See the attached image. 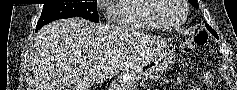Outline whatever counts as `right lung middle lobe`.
Wrapping results in <instances>:
<instances>
[{"instance_id": "dd1d6c3e", "label": "right lung middle lobe", "mask_w": 237, "mask_h": 90, "mask_svg": "<svg viewBox=\"0 0 237 90\" xmlns=\"http://www.w3.org/2000/svg\"><path fill=\"white\" fill-rule=\"evenodd\" d=\"M71 17H81L92 22H99L97 1L44 4L41 17L36 25V31L54 20Z\"/></svg>"}]
</instances>
